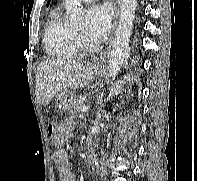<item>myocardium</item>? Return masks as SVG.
I'll return each mask as SVG.
<instances>
[{"instance_id": "obj_1", "label": "myocardium", "mask_w": 197, "mask_h": 181, "mask_svg": "<svg viewBox=\"0 0 197 181\" xmlns=\"http://www.w3.org/2000/svg\"><path fill=\"white\" fill-rule=\"evenodd\" d=\"M77 39L79 42V45H81V47L84 50L90 51L95 49V47L85 38V36L79 32H77Z\"/></svg>"}]
</instances>
